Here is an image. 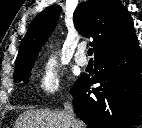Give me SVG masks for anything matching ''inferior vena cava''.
<instances>
[{
  "label": "inferior vena cava",
  "mask_w": 142,
  "mask_h": 128,
  "mask_svg": "<svg viewBox=\"0 0 142 128\" xmlns=\"http://www.w3.org/2000/svg\"><path fill=\"white\" fill-rule=\"evenodd\" d=\"M64 113H65L67 119L70 120L72 128H77L76 118L74 116V110H73L72 105L69 102L64 103Z\"/></svg>",
  "instance_id": "602c4592"
}]
</instances>
